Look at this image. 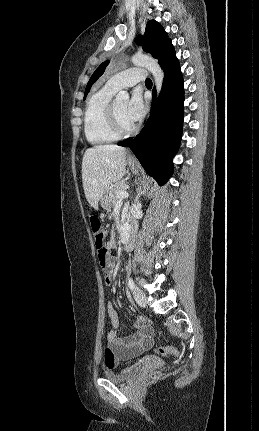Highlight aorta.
Here are the masks:
<instances>
[{
  "instance_id": "762f6f07",
  "label": "aorta",
  "mask_w": 259,
  "mask_h": 431,
  "mask_svg": "<svg viewBox=\"0 0 259 431\" xmlns=\"http://www.w3.org/2000/svg\"><path fill=\"white\" fill-rule=\"evenodd\" d=\"M131 61L134 65L144 67L152 73L154 77L157 93L159 94L163 84L164 73L161 67L159 66L158 62L152 57H149L143 54H135L132 57ZM128 100H129V94L127 91H120L115 98V101L117 103H125Z\"/></svg>"
}]
</instances>
